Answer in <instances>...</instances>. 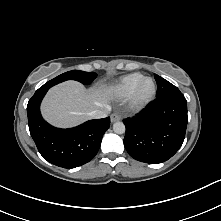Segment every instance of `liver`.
<instances>
[{"label":"liver","mask_w":221,"mask_h":221,"mask_svg":"<svg viewBox=\"0 0 221 221\" xmlns=\"http://www.w3.org/2000/svg\"><path fill=\"white\" fill-rule=\"evenodd\" d=\"M111 97L112 90L105 86L87 90L76 81H66L48 91L41 112L54 126L72 127L89 119V113L106 105Z\"/></svg>","instance_id":"6515ba94"}]
</instances>
